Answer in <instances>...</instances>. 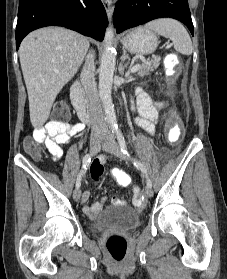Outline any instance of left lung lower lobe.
I'll return each mask as SVG.
<instances>
[{"label":"left lung lower lobe","instance_id":"0a47b994","mask_svg":"<svg viewBox=\"0 0 227 279\" xmlns=\"http://www.w3.org/2000/svg\"><path fill=\"white\" fill-rule=\"evenodd\" d=\"M170 17L184 23L193 35V23L187 0H122L116 3L114 24L116 32Z\"/></svg>","mask_w":227,"mask_h":279}]
</instances>
